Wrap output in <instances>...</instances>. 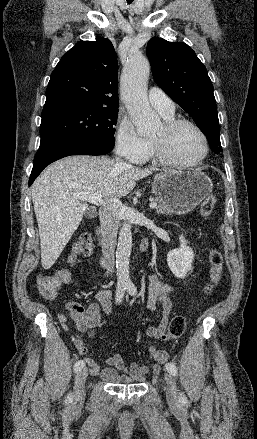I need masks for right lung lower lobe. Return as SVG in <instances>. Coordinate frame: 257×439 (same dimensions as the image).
<instances>
[{
	"label": "right lung lower lobe",
	"instance_id": "98d812e1",
	"mask_svg": "<svg viewBox=\"0 0 257 439\" xmlns=\"http://www.w3.org/2000/svg\"><path fill=\"white\" fill-rule=\"evenodd\" d=\"M114 146L89 139L64 138L40 145L34 157V166L30 175L29 185L50 163L70 155H105Z\"/></svg>",
	"mask_w": 257,
	"mask_h": 439
}]
</instances>
